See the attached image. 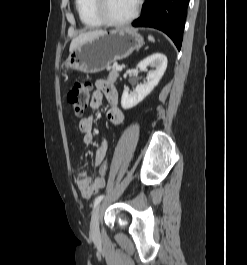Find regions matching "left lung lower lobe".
Segmentation results:
<instances>
[{"mask_svg":"<svg viewBox=\"0 0 247 265\" xmlns=\"http://www.w3.org/2000/svg\"><path fill=\"white\" fill-rule=\"evenodd\" d=\"M189 0H145L134 27H152L166 33L181 49Z\"/></svg>","mask_w":247,"mask_h":265,"instance_id":"left-lung-lower-lobe-1","label":"left lung lower lobe"}]
</instances>
